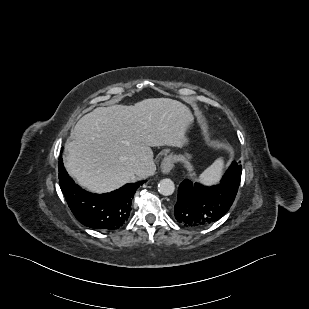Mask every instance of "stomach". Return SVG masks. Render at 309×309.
Instances as JSON below:
<instances>
[{"label": "stomach", "instance_id": "0dacf381", "mask_svg": "<svg viewBox=\"0 0 309 309\" xmlns=\"http://www.w3.org/2000/svg\"><path fill=\"white\" fill-rule=\"evenodd\" d=\"M187 142H188V139H187V137H185L183 146L186 145ZM172 157H173L174 160H188V159H190V155L189 154H183V155L173 154Z\"/></svg>", "mask_w": 309, "mask_h": 309}]
</instances>
